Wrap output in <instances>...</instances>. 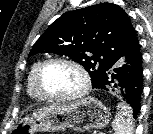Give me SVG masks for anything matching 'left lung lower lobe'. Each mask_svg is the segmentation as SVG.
I'll list each match as a JSON object with an SVG mask.
<instances>
[{
	"label": "left lung lower lobe",
	"instance_id": "left-lung-lower-lobe-1",
	"mask_svg": "<svg viewBox=\"0 0 153 134\" xmlns=\"http://www.w3.org/2000/svg\"><path fill=\"white\" fill-rule=\"evenodd\" d=\"M142 74V54L139 46L133 53L118 61L93 88L107 91L113 88L112 91H117L131 107L136 119L141 105Z\"/></svg>",
	"mask_w": 153,
	"mask_h": 134
}]
</instances>
